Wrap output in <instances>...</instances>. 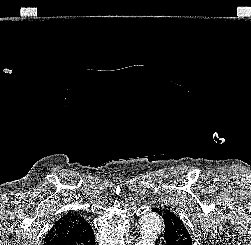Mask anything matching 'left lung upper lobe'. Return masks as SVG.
<instances>
[{
	"mask_svg": "<svg viewBox=\"0 0 251 245\" xmlns=\"http://www.w3.org/2000/svg\"><path fill=\"white\" fill-rule=\"evenodd\" d=\"M154 209L159 211L158 214L164 220V226H165L164 230L172 229L185 242L190 243V244L192 243L188 230L186 229L185 225L183 224V222L180 220V218L177 215H175L173 212H171L167 208L156 207Z\"/></svg>",
	"mask_w": 251,
	"mask_h": 245,
	"instance_id": "left-lung-upper-lobe-1",
	"label": "left lung upper lobe"
}]
</instances>
